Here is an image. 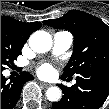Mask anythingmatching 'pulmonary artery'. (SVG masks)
<instances>
[{
  "label": "pulmonary artery",
  "mask_w": 109,
  "mask_h": 109,
  "mask_svg": "<svg viewBox=\"0 0 109 109\" xmlns=\"http://www.w3.org/2000/svg\"><path fill=\"white\" fill-rule=\"evenodd\" d=\"M73 43V35L69 31H58L53 36L52 53L60 55L67 51Z\"/></svg>",
  "instance_id": "obj_1"
}]
</instances>
